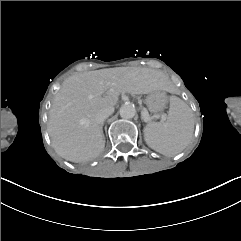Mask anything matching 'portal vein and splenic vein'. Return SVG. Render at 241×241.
Wrapping results in <instances>:
<instances>
[{
	"label": "portal vein and splenic vein",
	"instance_id": "obj_1",
	"mask_svg": "<svg viewBox=\"0 0 241 241\" xmlns=\"http://www.w3.org/2000/svg\"><path fill=\"white\" fill-rule=\"evenodd\" d=\"M143 113H144V114H147V113H148V109H147V108H144V109H143ZM158 117L163 118V117H164V114H163V113H160V114L155 113V114H152V115H151V118H152V119H155V118H158ZM152 119H149V120H148L147 118H144V119H143V122H144V123H147V122H148L149 124H152V123H153V120H152Z\"/></svg>",
	"mask_w": 241,
	"mask_h": 241
}]
</instances>
